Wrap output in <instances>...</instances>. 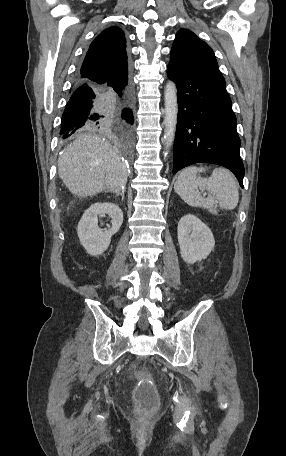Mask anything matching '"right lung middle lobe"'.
Wrapping results in <instances>:
<instances>
[{"label": "right lung middle lobe", "instance_id": "right-lung-middle-lobe-1", "mask_svg": "<svg viewBox=\"0 0 286 456\" xmlns=\"http://www.w3.org/2000/svg\"><path fill=\"white\" fill-rule=\"evenodd\" d=\"M132 140V138H131ZM131 140L129 142H125L123 139H121V141L125 144V145H129L131 143Z\"/></svg>", "mask_w": 286, "mask_h": 456}]
</instances>
